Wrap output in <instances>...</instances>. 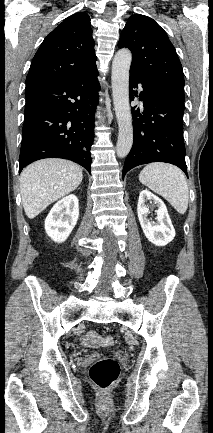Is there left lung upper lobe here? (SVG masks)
Wrapping results in <instances>:
<instances>
[{"instance_id": "left-lung-upper-lobe-1", "label": "left lung upper lobe", "mask_w": 213, "mask_h": 433, "mask_svg": "<svg viewBox=\"0 0 213 433\" xmlns=\"http://www.w3.org/2000/svg\"><path fill=\"white\" fill-rule=\"evenodd\" d=\"M118 47L131 50V72L150 87L184 102L182 65L166 32L152 18L132 15L121 33Z\"/></svg>"}]
</instances>
